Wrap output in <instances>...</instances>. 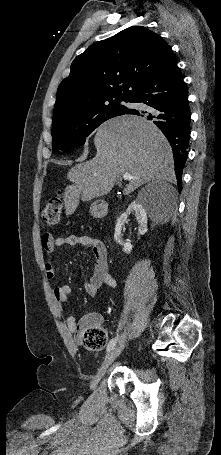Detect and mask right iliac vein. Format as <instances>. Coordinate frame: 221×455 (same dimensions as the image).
Wrapping results in <instances>:
<instances>
[{
	"instance_id": "1",
	"label": "right iliac vein",
	"mask_w": 221,
	"mask_h": 455,
	"mask_svg": "<svg viewBox=\"0 0 221 455\" xmlns=\"http://www.w3.org/2000/svg\"><path fill=\"white\" fill-rule=\"evenodd\" d=\"M125 347V344L124 343H121L119 344L117 347H115L114 349H112V351H110L108 353V355L105 357L102 365L100 366L97 374L95 375V377L93 378L92 382H91V389H95L96 386L98 385L99 381L101 380V378L104 376V374L106 373L107 369L109 368V366L114 362V360L120 355V353L122 352V350L124 349Z\"/></svg>"
}]
</instances>
